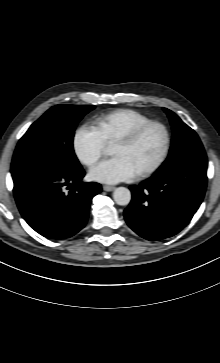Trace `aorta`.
<instances>
[{"mask_svg": "<svg viewBox=\"0 0 220 363\" xmlns=\"http://www.w3.org/2000/svg\"><path fill=\"white\" fill-rule=\"evenodd\" d=\"M113 198L118 205L125 206L131 201V192L128 188L118 187L113 193Z\"/></svg>", "mask_w": 220, "mask_h": 363, "instance_id": "1", "label": "aorta"}]
</instances>
